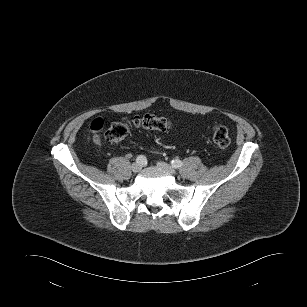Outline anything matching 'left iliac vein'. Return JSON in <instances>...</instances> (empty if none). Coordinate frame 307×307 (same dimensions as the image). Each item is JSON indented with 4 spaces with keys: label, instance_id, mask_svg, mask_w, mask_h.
<instances>
[{
    "label": "left iliac vein",
    "instance_id": "left-iliac-vein-1",
    "mask_svg": "<svg viewBox=\"0 0 307 307\" xmlns=\"http://www.w3.org/2000/svg\"><path fill=\"white\" fill-rule=\"evenodd\" d=\"M157 166H158L159 168H161V169L167 171V172L170 173V174H175V172H176L175 169H174L172 166H170L169 164H167V163H165V162L159 161V162H157Z\"/></svg>",
    "mask_w": 307,
    "mask_h": 307
}]
</instances>
